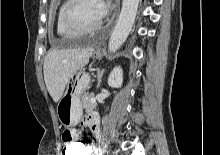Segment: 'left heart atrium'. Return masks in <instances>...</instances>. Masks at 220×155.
Here are the masks:
<instances>
[{
    "mask_svg": "<svg viewBox=\"0 0 220 155\" xmlns=\"http://www.w3.org/2000/svg\"><path fill=\"white\" fill-rule=\"evenodd\" d=\"M96 3L102 17H104L109 9V3L105 0H96Z\"/></svg>",
    "mask_w": 220,
    "mask_h": 155,
    "instance_id": "obj_1",
    "label": "left heart atrium"
}]
</instances>
